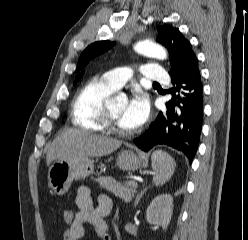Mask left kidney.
<instances>
[{"label": "left kidney", "mask_w": 248, "mask_h": 240, "mask_svg": "<svg viewBox=\"0 0 248 240\" xmlns=\"http://www.w3.org/2000/svg\"><path fill=\"white\" fill-rule=\"evenodd\" d=\"M173 213V198L169 194L157 196L148 206L146 219L149 224L167 229Z\"/></svg>", "instance_id": "left-kidney-1"}]
</instances>
